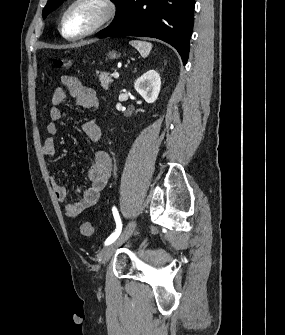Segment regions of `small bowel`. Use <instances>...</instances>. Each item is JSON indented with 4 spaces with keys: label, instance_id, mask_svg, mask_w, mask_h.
<instances>
[{
    "label": "small bowel",
    "instance_id": "c3829d8e",
    "mask_svg": "<svg viewBox=\"0 0 285 335\" xmlns=\"http://www.w3.org/2000/svg\"><path fill=\"white\" fill-rule=\"evenodd\" d=\"M63 87L57 88L51 98L49 109L50 122L46 131L48 137L42 145L43 154L51 158L55 155V137L59 132L58 122L62 119L60 106L65 102L67 92L75 99L82 108L94 111L98 108L99 101L95 90L84 86L76 77L65 75L61 79ZM82 132L93 142L99 140L101 132L96 122L90 118L82 124ZM113 169L110 155L105 151L98 150L87 170L88 185L81 189V196L76 202H67L64 206V214L68 218L78 217L84 210L93 206L99 199L101 191L105 187ZM55 197L59 202L67 201L66 187L55 177L50 178Z\"/></svg>",
    "mask_w": 285,
    "mask_h": 335
}]
</instances>
